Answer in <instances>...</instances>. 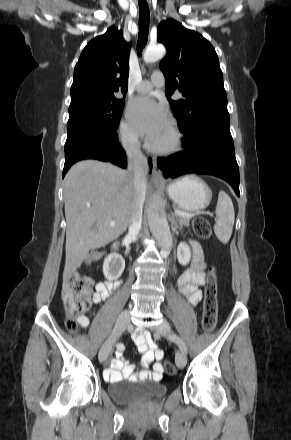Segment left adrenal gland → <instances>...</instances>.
<instances>
[{
    "mask_svg": "<svg viewBox=\"0 0 291 440\" xmlns=\"http://www.w3.org/2000/svg\"><path fill=\"white\" fill-rule=\"evenodd\" d=\"M171 223H172V225H174L176 228H178V223L176 222L174 216L171 217Z\"/></svg>",
    "mask_w": 291,
    "mask_h": 440,
    "instance_id": "1",
    "label": "left adrenal gland"
}]
</instances>
